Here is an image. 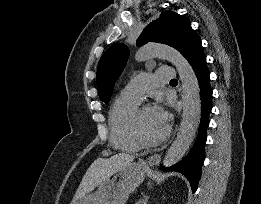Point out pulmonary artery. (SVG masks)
Here are the masks:
<instances>
[{
    "label": "pulmonary artery",
    "instance_id": "e3ab8cb5",
    "mask_svg": "<svg viewBox=\"0 0 261 204\" xmlns=\"http://www.w3.org/2000/svg\"><path fill=\"white\" fill-rule=\"evenodd\" d=\"M175 75L174 68L170 66L160 67L152 73H141L121 91V97L140 102L147 90L170 81Z\"/></svg>",
    "mask_w": 261,
    "mask_h": 204
}]
</instances>
